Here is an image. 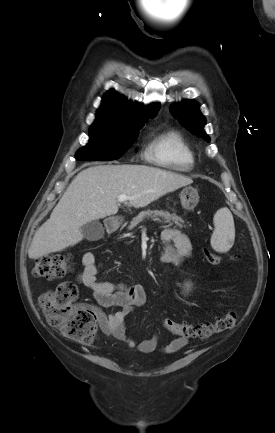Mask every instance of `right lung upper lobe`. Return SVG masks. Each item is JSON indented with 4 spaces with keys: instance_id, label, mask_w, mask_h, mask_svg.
I'll use <instances>...</instances> for the list:
<instances>
[{
    "instance_id": "right-lung-upper-lobe-1",
    "label": "right lung upper lobe",
    "mask_w": 275,
    "mask_h": 433,
    "mask_svg": "<svg viewBox=\"0 0 275 433\" xmlns=\"http://www.w3.org/2000/svg\"><path fill=\"white\" fill-rule=\"evenodd\" d=\"M159 109L158 103L146 107L133 105L116 91L111 90L102 99L95 123L113 125L142 123L154 118Z\"/></svg>"
}]
</instances>
